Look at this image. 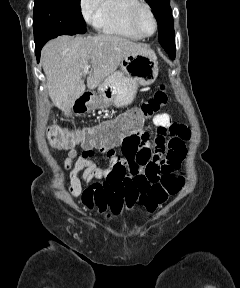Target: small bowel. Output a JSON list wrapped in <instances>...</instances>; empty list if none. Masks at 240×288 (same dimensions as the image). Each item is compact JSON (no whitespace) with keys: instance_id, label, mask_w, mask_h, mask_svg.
Returning a JSON list of instances; mask_svg holds the SVG:
<instances>
[{"instance_id":"c3829d8e","label":"small bowel","mask_w":240,"mask_h":288,"mask_svg":"<svg viewBox=\"0 0 240 288\" xmlns=\"http://www.w3.org/2000/svg\"><path fill=\"white\" fill-rule=\"evenodd\" d=\"M152 121L157 132L154 141L148 131L141 130L135 136L116 142L83 145L80 155L75 147L65 149L68 152L63 166L69 171L70 194L73 197L81 195L88 209L96 207L100 212L109 209L118 214L124 206L131 208L141 194L160 182L164 174L179 169L186 153L185 142L191 136L190 130L174 122L167 113L156 114ZM118 146L121 155L115 150ZM95 149L109 159L108 167L99 168L94 163ZM81 172L82 180L79 177ZM94 179L104 181L82 189L81 181L91 183Z\"/></svg>"}]
</instances>
